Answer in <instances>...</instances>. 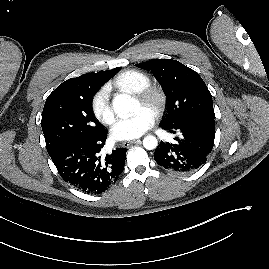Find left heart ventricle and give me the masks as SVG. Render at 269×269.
Here are the masks:
<instances>
[{
    "instance_id": "left-heart-ventricle-1",
    "label": "left heart ventricle",
    "mask_w": 269,
    "mask_h": 269,
    "mask_svg": "<svg viewBox=\"0 0 269 269\" xmlns=\"http://www.w3.org/2000/svg\"><path fill=\"white\" fill-rule=\"evenodd\" d=\"M141 107H143L142 106V104L139 102L138 104H137V110H139ZM150 110H151V108H149ZM152 111V110H151Z\"/></svg>"
}]
</instances>
